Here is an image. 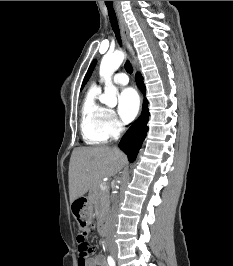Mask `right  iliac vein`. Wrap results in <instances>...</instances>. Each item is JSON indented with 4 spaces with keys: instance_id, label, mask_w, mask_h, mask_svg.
<instances>
[{
    "instance_id": "1",
    "label": "right iliac vein",
    "mask_w": 233,
    "mask_h": 266,
    "mask_svg": "<svg viewBox=\"0 0 233 266\" xmlns=\"http://www.w3.org/2000/svg\"><path fill=\"white\" fill-rule=\"evenodd\" d=\"M112 254H113V256H116V253L114 251L112 252Z\"/></svg>"
}]
</instances>
